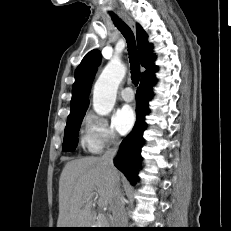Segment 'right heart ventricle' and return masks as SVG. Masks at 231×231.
<instances>
[{
  "label": "right heart ventricle",
  "mask_w": 231,
  "mask_h": 231,
  "mask_svg": "<svg viewBox=\"0 0 231 231\" xmlns=\"http://www.w3.org/2000/svg\"><path fill=\"white\" fill-rule=\"evenodd\" d=\"M81 145L84 147V148H87L89 149L90 151H92L91 149V141L89 139V137L87 135H83L81 137Z\"/></svg>",
  "instance_id": "right-heart-ventricle-1"
}]
</instances>
